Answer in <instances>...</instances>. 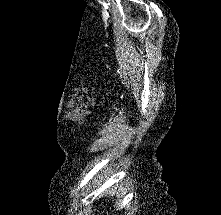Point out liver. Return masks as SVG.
Masks as SVG:
<instances>
[{
	"mask_svg": "<svg viewBox=\"0 0 221 215\" xmlns=\"http://www.w3.org/2000/svg\"><path fill=\"white\" fill-rule=\"evenodd\" d=\"M115 194V189L114 190H112V192H107V195H111V196H113Z\"/></svg>",
	"mask_w": 221,
	"mask_h": 215,
	"instance_id": "liver-1",
	"label": "liver"
}]
</instances>
